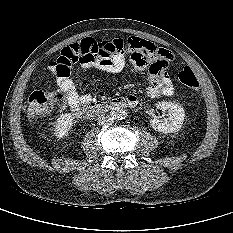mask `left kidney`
Listing matches in <instances>:
<instances>
[{
  "instance_id": "5707ae66",
  "label": "left kidney",
  "mask_w": 233,
  "mask_h": 233,
  "mask_svg": "<svg viewBox=\"0 0 233 233\" xmlns=\"http://www.w3.org/2000/svg\"><path fill=\"white\" fill-rule=\"evenodd\" d=\"M157 107L164 111H167L168 118L160 120L157 117H153L150 120L151 127L154 130L165 134L179 131L183 125L185 118L184 108L179 104L170 101L159 102Z\"/></svg>"
}]
</instances>
